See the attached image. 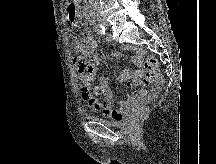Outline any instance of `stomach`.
Segmentation results:
<instances>
[{
	"instance_id": "0dacf381",
	"label": "stomach",
	"mask_w": 216,
	"mask_h": 164,
	"mask_svg": "<svg viewBox=\"0 0 216 164\" xmlns=\"http://www.w3.org/2000/svg\"><path fill=\"white\" fill-rule=\"evenodd\" d=\"M66 14H69L70 16L79 14V9H75V7H68V9H66Z\"/></svg>"
}]
</instances>
